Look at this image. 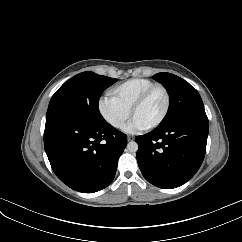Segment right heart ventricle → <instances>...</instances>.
<instances>
[{"mask_svg":"<svg viewBox=\"0 0 242 242\" xmlns=\"http://www.w3.org/2000/svg\"><path fill=\"white\" fill-rule=\"evenodd\" d=\"M152 85L151 80L133 78L113 87L109 93L120 105L130 110L134 101Z\"/></svg>","mask_w":242,"mask_h":242,"instance_id":"1","label":"right heart ventricle"}]
</instances>
